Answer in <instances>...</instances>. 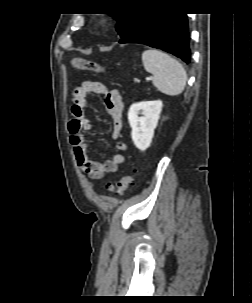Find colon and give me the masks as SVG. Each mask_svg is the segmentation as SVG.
<instances>
[{
	"mask_svg": "<svg viewBox=\"0 0 252 303\" xmlns=\"http://www.w3.org/2000/svg\"><path fill=\"white\" fill-rule=\"evenodd\" d=\"M71 65L75 69L86 70L92 73H103L104 68L98 63L85 58H75L71 61ZM133 181V174L128 173L122 176L115 184L108 185L109 192L114 194H121L128 189Z\"/></svg>",
	"mask_w": 252,
	"mask_h": 303,
	"instance_id": "colon-1",
	"label": "colon"
}]
</instances>
